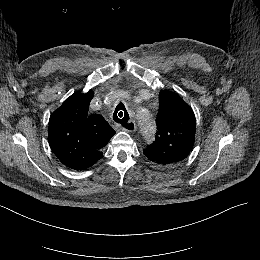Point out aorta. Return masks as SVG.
I'll use <instances>...</instances> for the list:
<instances>
[{"label": "aorta", "mask_w": 260, "mask_h": 260, "mask_svg": "<svg viewBox=\"0 0 260 260\" xmlns=\"http://www.w3.org/2000/svg\"><path fill=\"white\" fill-rule=\"evenodd\" d=\"M137 118L143 136L147 140H151L156 131L155 121L151 118L149 112L145 110L138 111Z\"/></svg>", "instance_id": "762f6f07"}]
</instances>
